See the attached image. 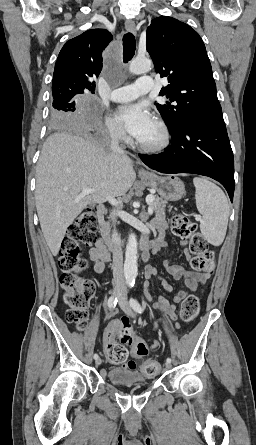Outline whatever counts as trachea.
I'll list each match as a JSON object with an SVG mask.
<instances>
[{"label":"trachea","instance_id":"obj_1","mask_svg":"<svg viewBox=\"0 0 256 445\" xmlns=\"http://www.w3.org/2000/svg\"><path fill=\"white\" fill-rule=\"evenodd\" d=\"M136 50V41L132 33H127L123 36V60L125 63L130 61Z\"/></svg>","mask_w":256,"mask_h":445}]
</instances>
